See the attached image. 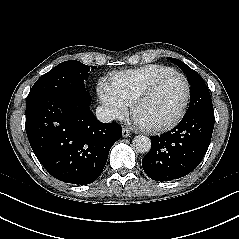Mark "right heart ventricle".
<instances>
[{"label": "right heart ventricle", "mask_w": 239, "mask_h": 239, "mask_svg": "<svg viewBox=\"0 0 239 239\" xmlns=\"http://www.w3.org/2000/svg\"><path fill=\"white\" fill-rule=\"evenodd\" d=\"M170 70L172 69L164 65L148 64L112 74L110 84L116 93L130 105L141 89L158 75Z\"/></svg>", "instance_id": "e07e8e85"}]
</instances>
